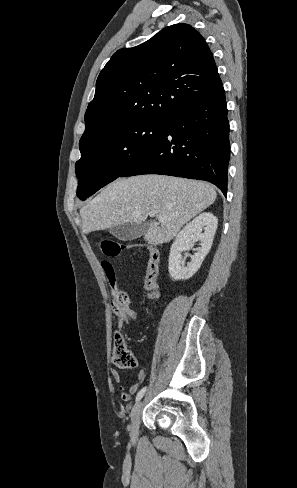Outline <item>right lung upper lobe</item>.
I'll use <instances>...</instances> for the list:
<instances>
[{"label": "right lung upper lobe", "mask_w": 297, "mask_h": 488, "mask_svg": "<svg viewBox=\"0 0 297 488\" xmlns=\"http://www.w3.org/2000/svg\"><path fill=\"white\" fill-rule=\"evenodd\" d=\"M222 85L204 38L188 24L164 28L150 40L113 54L96 81L79 148L126 125L169 120Z\"/></svg>", "instance_id": "1"}]
</instances>
